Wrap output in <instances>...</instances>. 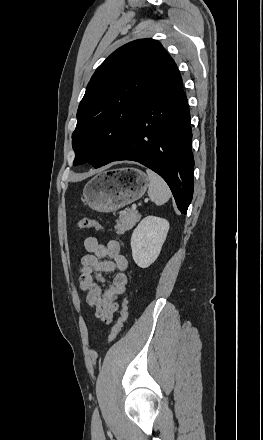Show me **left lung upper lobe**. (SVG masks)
<instances>
[{"instance_id":"left-lung-upper-lobe-1","label":"left lung upper lobe","mask_w":263,"mask_h":440,"mask_svg":"<svg viewBox=\"0 0 263 440\" xmlns=\"http://www.w3.org/2000/svg\"><path fill=\"white\" fill-rule=\"evenodd\" d=\"M173 62L157 40L147 38L123 45L97 68L77 111L74 165L89 161L99 168L121 152Z\"/></svg>"}]
</instances>
